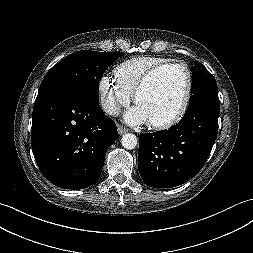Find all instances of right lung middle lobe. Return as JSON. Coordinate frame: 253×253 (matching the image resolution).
I'll use <instances>...</instances> for the list:
<instances>
[{
  "label": "right lung middle lobe",
  "mask_w": 253,
  "mask_h": 253,
  "mask_svg": "<svg viewBox=\"0 0 253 253\" xmlns=\"http://www.w3.org/2000/svg\"><path fill=\"white\" fill-rule=\"evenodd\" d=\"M123 53L75 52L51 68L43 79L38 97L67 93L90 103H98L99 81L107 68Z\"/></svg>",
  "instance_id": "right-lung-middle-lobe-1"
}]
</instances>
